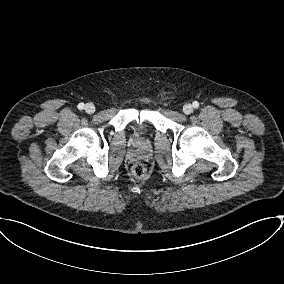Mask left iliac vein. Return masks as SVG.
I'll list each match as a JSON object with an SVG mask.
<instances>
[{"label": "left iliac vein", "instance_id": "4c4485c4", "mask_svg": "<svg viewBox=\"0 0 284 284\" xmlns=\"http://www.w3.org/2000/svg\"><path fill=\"white\" fill-rule=\"evenodd\" d=\"M183 112L185 114H191L193 112V106L190 104V103H186L184 106H183Z\"/></svg>", "mask_w": 284, "mask_h": 284}]
</instances>
